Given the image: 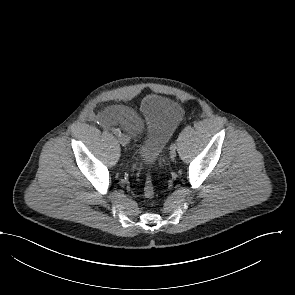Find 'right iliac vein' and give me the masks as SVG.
Returning a JSON list of instances; mask_svg holds the SVG:
<instances>
[{
    "mask_svg": "<svg viewBox=\"0 0 295 295\" xmlns=\"http://www.w3.org/2000/svg\"><path fill=\"white\" fill-rule=\"evenodd\" d=\"M119 142L122 146H126L129 144V138L126 135L122 134L119 136Z\"/></svg>",
    "mask_w": 295,
    "mask_h": 295,
    "instance_id": "1",
    "label": "right iliac vein"
}]
</instances>
